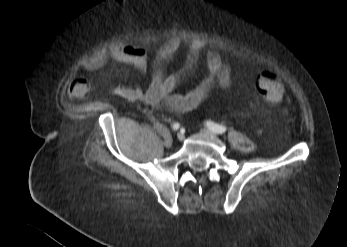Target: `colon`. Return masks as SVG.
I'll return each instance as SVG.
<instances>
[{
  "label": "colon",
  "mask_w": 347,
  "mask_h": 247,
  "mask_svg": "<svg viewBox=\"0 0 347 247\" xmlns=\"http://www.w3.org/2000/svg\"><path fill=\"white\" fill-rule=\"evenodd\" d=\"M257 88L270 104H278L285 99V86L273 71L265 70L258 75Z\"/></svg>",
  "instance_id": "colon-1"
}]
</instances>
